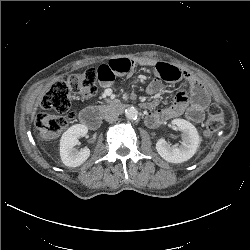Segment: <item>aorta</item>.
Instances as JSON below:
<instances>
[{"instance_id":"aorta-1","label":"aorta","mask_w":250,"mask_h":250,"mask_svg":"<svg viewBox=\"0 0 250 250\" xmlns=\"http://www.w3.org/2000/svg\"><path fill=\"white\" fill-rule=\"evenodd\" d=\"M125 116L129 120H135L138 117V111L135 107H129L125 110Z\"/></svg>"}]
</instances>
